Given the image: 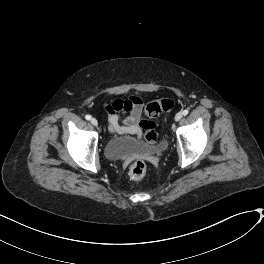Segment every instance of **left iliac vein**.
<instances>
[{
  "instance_id": "1",
  "label": "left iliac vein",
  "mask_w": 264,
  "mask_h": 264,
  "mask_svg": "<svg viewBox=\"0 0 264 264\" xmlns=\"http://www.w3.org/2000/svg\"><path fill=\"white\" fill-rule=\"evenodd\" d=\"M183 114L181 112H178L176 115H175V121H179L181 118H182Z\"/></svg>"
}]
</instances>
